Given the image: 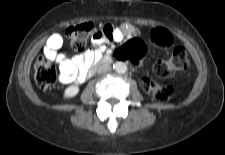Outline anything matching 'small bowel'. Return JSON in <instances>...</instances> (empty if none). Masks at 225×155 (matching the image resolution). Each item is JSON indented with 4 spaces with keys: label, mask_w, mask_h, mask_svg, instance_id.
Returning a JSON list of instances; mask_svg holds the SVG:
<instances>
[{
    "label": "small bowel",
    "mask_w": 225,
    "mask_h": 155,
    "mask_svg": "<svg viewBox=\"0 0 225 155\" xmlns=\"http://www.w3.org/2000/svg\"><path fill=\"white\" fill-rule=\"evenodd\" d=\"M131 32L129 27H122L116 31L111 25L105 26L101 31L93 35L92 43L95 50H89L82 55L69 59L60 51L62 47V37L59 34L51 35L44 46L45 57L59 65L60 81L62 83H81L88 75L89 68L99 59L100 50L112 40L121 39Z\"/></svg>",
    "instance_id": "c3829d8e"
}]
</instances>
